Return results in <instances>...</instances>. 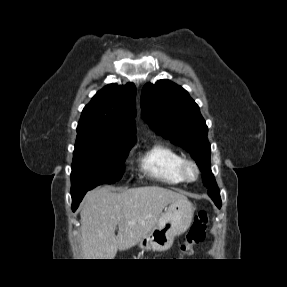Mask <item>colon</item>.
Returning a JSON list of instances; mask_svg holds the SVG:
<instances>
[{
	"label": "colon",
	"instance_id": "5ec220e1",
	"mask_svg": "<svg viewBox=\"0 0 287 287\" xmlns=\"http://www.w3.org/2000/svg\"><path fill=\"white\" fill-rule=\"evenodd\" d=\"M207 226L208 214L205 211H199L195 215L186 239L180 247L182 255H189L192 252L193 247L203 241Z\"/></svg>",
	"mask_w": 287,
	"mask_h": 287
}]
</instances>
